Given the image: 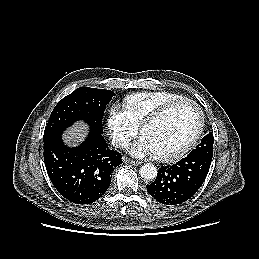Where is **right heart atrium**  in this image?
Masks as SVG:
<instances>
[{
  "mask_svg": "<svg viewBox=\"0 0 259 259\" xmlns=\"http://www.w3.org/2000/svg\"><path fill=\"white\" fill-rule=\"evenodd\" d=\"M107 127L116 147L124 148L138 132L125 106L113 104L109 109Z\"/></svg>",
  "mask_w": 259,
  "mask_h": 259,
  "instance_id": "right-heart-atrium-1",
  "label": "right heart atrium"
}]
</instances>
